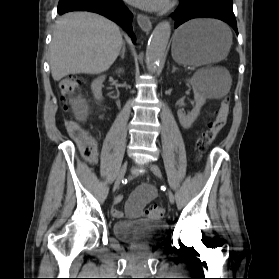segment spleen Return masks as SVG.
I'll use <instances>...</instances> for the list:
<instances>
[{"mask_svg": "<svg viewBox=\"0 0 279 279\" xmlns=\"http://www.w3.org/2000/svg\"><path fill=\"white\" fill-rule=\"evenodd\" d=\"M222 27L226 32H229L231 34V31L227 26L222 25ZM209 72V70H201L198 71L195 75V79L199 84V89L201 93L214 98H220L225 96L228 93L231 86L230 77L227 76L224 81H217L209 76Z\"/></svg>", "mask_w": 279, "mask_h": 279, "instance_id": "spleen-1", "label": "spleen"}]
</instances>
